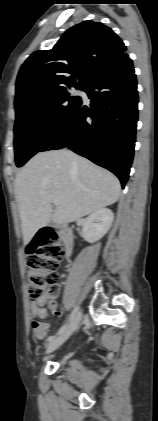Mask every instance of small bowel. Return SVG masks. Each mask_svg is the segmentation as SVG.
<instances>
[{"mask_svg":"<svg viewBox=\"0 0 158 421\" xmlns=\"http://www.w3.org/2000/svg\"><path fill=\"white\" fill-rule=\"evenodd\" d=\"M54 307H55V304L53 302L52 309H54ZM30 311L33 317V320L31 323L33 334L38 340H44L50 331V325L43 321L37 320L36 318H40V319L46 318L48 315L47 311L43 308V304L38 303V302H33L31 304ZM55 313L57 315L60 314L59 312H55Z\"/></svg>","mask_w":158,"mask_h":421,"instance_id":"1","label":"small bowel"}]
</instances>
